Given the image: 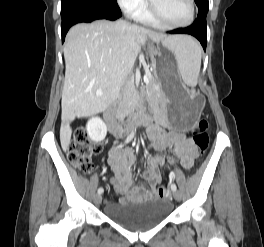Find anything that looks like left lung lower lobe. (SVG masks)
I'll list each match as a JSON object with an SVG mask.
<instances>
[{
    "instance_id": "obj_1",
    "label": "left lung lower lobe",
    "mask_w": 264,
    "mask_h": 247,
    "mask_svg": "<svg viewBox=\"0 0 264 247\" xmlns=\"http://www.w3.org/2000/svg\"><path fill=\"white\" fill-rule=\"evenodd\" d=\"M168 33L171 34H190L196 37L201 45L203 46L204 50H206L207 45V24L205 17H197L195 22L187 27V28H179Z\"/></svg>"
}]
</instances>
